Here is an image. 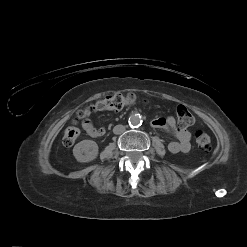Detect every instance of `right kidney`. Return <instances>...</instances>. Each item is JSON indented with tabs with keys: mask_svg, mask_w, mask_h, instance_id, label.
<instances>
[{
	"mask_svg": "<svg viewBox=\"0 0 247 247\" xmlns=\"http://www.w3.org/2000/svg\"><path fill=\"white\" fill-rule=\"evenodd\" d=\"M73 155L78 162H90L98 156V145L92 140H83L74 146Z\"/></svg>",
	"mask_w": 247,
	"mask_h": 247,
	"instance_id": "1",
	"label": "right kidney"
}]
</instances>
